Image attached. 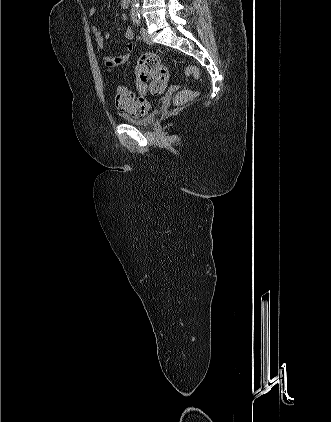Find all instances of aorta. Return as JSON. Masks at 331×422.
Masks as SVG:
<instances>
[{
	"label": "aorta",
	"mask_w": 331,
	"mask_h": 422,
	"mask_svg": "<svg viewBox=\"0 0 331 422\" xmlns=\"http://www.w3.org/2000/svg\"><path fill=\"white\" fill-rule=\"evenodd\" d=\"M131 4H132V11H138L139 8V0H131Z\"/></svg>",
	"instance_id": "762f6f07"
}]
</instances>
